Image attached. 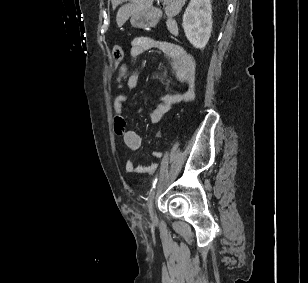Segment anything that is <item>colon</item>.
Segmentation results:
<instances>
[{
	"instance_id": "obj_1",
	"label": "colon",
	"mask_w": 308,
	"mask_h": 283,
	"mask_svg": "<svg viewBox=\"0 0 308 283\" xmlns=\"http://www.w3.org/2000/svg\"><path fill=\"white\" fill-rule=\"evenodd\" d=\"M113 58L116 63H120L124 58L123 48L119 45L113 48Z\"/></svg>"
}]
</instances>
